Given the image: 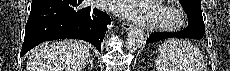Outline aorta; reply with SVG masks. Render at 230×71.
I'll list each match as a JSON object with an SVG mask.
<instances>
[{"instance_id":"1","label":"aorta","mask_w":230,"mask_h":71,"mask_svg":"<svg viewBox=\"0 0 230 71\" xmlns=\"http://www.w3.org/2000/svg\"><path fill=\"white\" fill-rule=\"evenodd\" d=\"M145 40V33L143 29L140 28H133L128 33L126 38L125 46L126 49L130 52H134L138 50Z\"/></svg>"}]
</instances>
